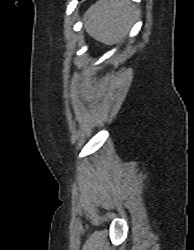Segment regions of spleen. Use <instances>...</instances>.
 I'll return each instance as SVG.
<instances>
[{
	"label": "spleen",
	"instance_id": "spleen-1",
	"mask_svg": "<svg viewBox=\"0 0 194 250\" xmlns=\"http://www.w3.org/2000/svg\"><path fill=\"white\" fill-rule=\"evenodd\" d=\"M138 10L129 0H99L84 14L87 33L97 41L114 45L129 32Z\"/></svg>",
	"mask_w": 194,
	"mask_h": 250
}]
</instances>
